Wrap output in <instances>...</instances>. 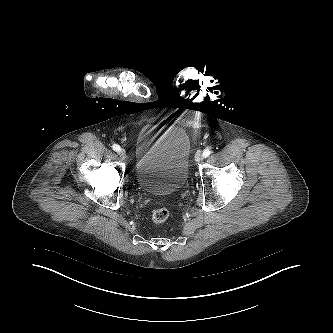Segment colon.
<instances>
[{
  "mask_svg": "<svg viewBox=\"0 0 333 333\" xmlns=\"http://www.w3.org/2000/svg\"><path fill=\"white\" fill-rule=\"evenodd\" d=\"M169 217V211L167 207L161 206L157 208L152 214V220L156 224L164 223Z\"/></svg>",
  "mask_w": 333,
  "mask_h": 333,
  "instance_id": "1",
  "label": "colon"
}]
</instances>
